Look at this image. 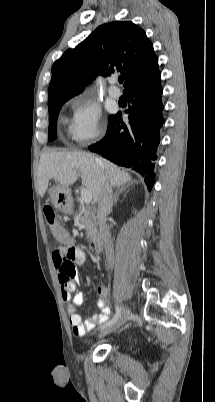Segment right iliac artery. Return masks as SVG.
Masks as SVG:
<instances>
[{"label":"right iliac artery","instance_id":"1","mask_svg":"<svg viewBox=\"0 0 215 402\" xmlns=\"http://www.w3.org/2000/svg\"><path fill=\"white\" fill-rule=\"evenodd\" d=\"M121 311H122L121 307L116 306V313H115L114 317L112 318V320H110L105 325L101 326V328L108 327V326L112 325L113 323H115L118 320V318L121 316Z\"/></svg>","mask_w":215,"mask_h":402}]
</instances>
